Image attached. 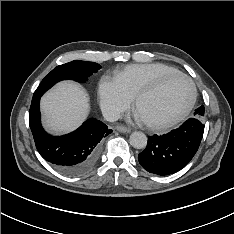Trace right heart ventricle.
Here are the masks:
<instances>
[{"instance_id": "obj_1", "label": "right heart ventricle", "mask_w": 234, "mask_h": 234, "mask_svg": "<svg viewBox=\"0 0 234 234\" xmlns=\"http://www.w3.org/2000/svg\"><path fill=\"white\" fill-rule=\"evenodd\" d=\"M178 72L172 66L163 63L131 64L116 72V79L123 90L134 98L139 90L162 75Z\"/></svg>"}]
</instances>
